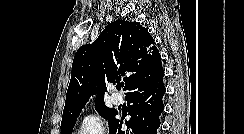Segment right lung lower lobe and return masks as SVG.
I'll list each match as a JSON object with an SVG mask.
<instances>
[{"instance_id":"98d812e1","label":"right lung lower lobe","mask_w":244,"mask_h":134,"mask_svg":"<svg viewBox=\"0 0 244 134\" xmlns=\"http://www.w3.org/2000/svg\"><path fill=\"white\" fill-rule=\"evenodd\" d=\"M163 76L126 95L127 102L132 103L129 112L131 119L125 122L127 130L122 129L123 120L114 118L109 124V134H157L159 117L164 110Z\"/></svg>"}]
</instances>
